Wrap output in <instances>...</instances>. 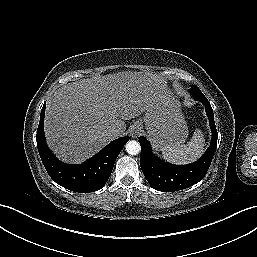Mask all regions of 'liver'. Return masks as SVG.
<instances>
[{"mask_svg":"<svg viewBox=\"0 0 257 257\" xmlns=\"http://www.w3.org/2000/svg\"><path fill=\"white\" fill-rule=\"evenodd\" d=\"M166 86L150 73L119 72L60 87L46 105L45 136L64 162L81 163L124 134V121L140 116L158 98L170 99Z\"/></svg>","mask_w":257,"mask_h":257,"instance_id":"obj_1","label":"liver"}]
</instances>
